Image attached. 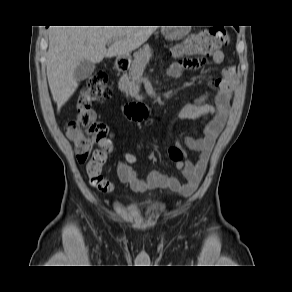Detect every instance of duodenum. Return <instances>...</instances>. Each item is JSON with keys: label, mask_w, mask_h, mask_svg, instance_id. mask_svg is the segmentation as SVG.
Returning a JSON list of instances; mask_svg holds the SVG:
<instances>
[{"label": "duodenum", "mask_w": 292, "mask_h": 292, "mask_svg": "<svg viewBox=\"0 0 292 292\" xmlns=\"http://www.w3.org/2000/svg\"><path fill=\"white\" fill-rule=\"evenodd\" d=\"M119 72H124L128 68V61L124 58H118L115 63ZM127 115L131 117H139L147 114L146 107L141 103H130L126 109Z\"/></svg>", "instance_id": "410a0bca"}]
</instances>
